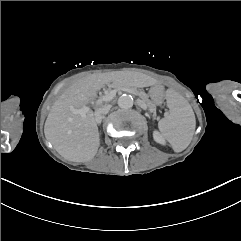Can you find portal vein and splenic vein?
Masks as SVG:
<instances>
[{"instance_id":"obj_1","label":"portal vein and splenic vein","mask_w":241,"mask_h":241,"mask_svg":"<svg viewBox=\"0 0 241 241\" xmlns=\"http://www.w3.org/2000/svg\"><path fill=\"white\" fill-rule=\"evenodd\" d=\"M117 91H123V92H129L130 94L135 95L136 93L133 90H129L126 87H122V88H117ZM116 90L110 91L107 94H105L104 96L100 97L95 104L98 106L100 104H102L103 102H110L113 100V98L116 96ZM91 110V107L86 106L83 107L80 110L77 109H72L73 113H79L83 118H86V113L89 112Z\"/></svg>"}]
</instances>
